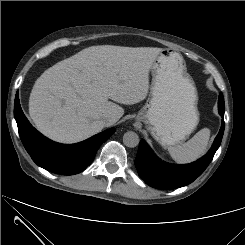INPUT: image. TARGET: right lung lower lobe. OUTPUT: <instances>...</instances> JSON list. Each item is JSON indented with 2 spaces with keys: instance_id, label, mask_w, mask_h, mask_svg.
<instances>
[{
  "instance_id": "right-lung-lower-lobe-1",
  "label": "right lung lower lobe",
  "mask_w": 245,
  "mask_h": 245,
  "mask_svg": "<svg viewBox=\"0 0 245 245\" xmlns=\"http://www.w3.org/2000/svg\"><path fill=\"white\" fill-rule=\"evenodd\" d=\"M14 116L22 143L33 161L48 171L63 175L77 174L86 169L100 145L115 132L114 128H110L72 145L53 142L39 133L27 120L21 109L18 93L15 98Z\"/></svg>"
}]
</instances>
